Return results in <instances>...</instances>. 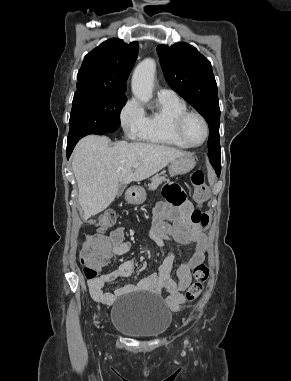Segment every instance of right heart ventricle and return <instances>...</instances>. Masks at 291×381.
<instances>
[{
  "label": "right heart ventricle",
  "instance_id": "obj_1",
  "mask_svg": "<svg viewBox=\"0 0 291 381\" xmlns=\"http://www.w3.org/2000/svg\"><path fill=\"white\" fill-rule=\"evenodd\" d=\"M184 100L178 96H158L155 109L144 116L139 137L152 144L168 146L178 149H187V146L175 132V121L183 112L187 111Z\"/></svg>",
  "mask_w": 291,
  "mask_h": 381
}]
</instances>
